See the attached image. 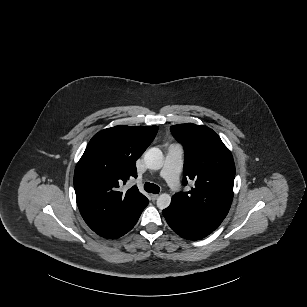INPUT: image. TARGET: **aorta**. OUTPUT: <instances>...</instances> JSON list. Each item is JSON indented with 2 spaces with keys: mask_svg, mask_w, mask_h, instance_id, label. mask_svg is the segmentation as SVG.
<instances>
[{
  "mask_svg": "<svg viewBox=\"0 0 307 307\" xmlns=\"http://www.w3.org/2000/svg\"><path fill=\"white\" fill-rule=\"evenodd\" d=\"M164 156L162 151L157 147H152L144 154V163L150 170H159L163 167ZM157 207L159 209L167 208L171 203V196L163 193L157 197Z\"/></svg>",
  "mask_w": 307,
  "mask_h": 307,
  "instance_id": "obj_1",
  "label": "aorta"
}]
</instances>
